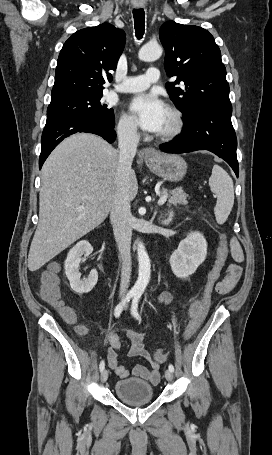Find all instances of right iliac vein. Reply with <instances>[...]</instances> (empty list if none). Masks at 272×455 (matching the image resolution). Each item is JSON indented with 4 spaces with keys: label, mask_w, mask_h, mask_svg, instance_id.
<instances>
[{
    "label": "right iliac vein",
    "mask_w": 272,
    "mask_h": 455,
    "mask_svg": "<svg viewBox=\"0 0 272 455\" xmlns=\"http://www.w3.org/2000/svg\"><path fill=\"white\" fill-rule=\"evenodd\" d=\"M107 379H108V370L104 369L101 372V381L104 383L107 381Z\"/></svg>",
    "instance_id": "63e3f726"
}]
</instances>
